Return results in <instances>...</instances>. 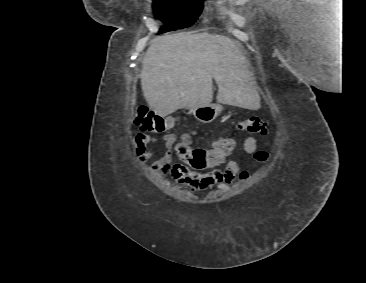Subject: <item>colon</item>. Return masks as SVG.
<instances>
[{"mask_svg":"<svg viewBox=\"0 0 366 283\" xmlns=\"http://www.w3.org/2000/svg\"><path fill=\"white\" fill-rule=\"evenodd\" d=\"M175 119L172 117H162L146 106H139L135 113L134 123L143 132L163 133L173 127ZM238 130H243L252 134L266 135L269 133V122L257 116H251L241 120L237 125ZM217 147L224 154H228L234 148V142L229 138H220L209 150L192 149L189 146L188 138L184 137L177 145V154L183 164L194 170H204L219 161L213 152ZM258 161H265L268 154L265 151L255 153ZM242 179L247 178L246 172L240 174Z\"/></svg>","mask_w":366,"mask_h":283,"instance_id":"5ec220e1","label":"colon"}]
</instances>
